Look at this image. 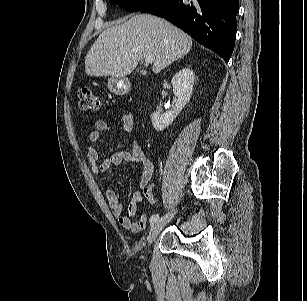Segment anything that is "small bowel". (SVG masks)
<instances>
[{
  "label": "small bowel",
  "instance_id": "obj_1",
  "mask_svg": "<svg viewBox=\"0 0 307 301\" xmlns=\"http://www.w3.org/2000/svg\"><path fill=\"white\" fill-rule=\"evenodd\" d=\"M120 123L126 132H132L135 129V120L131 113H123L120 117ZM109 128L110 126L106 121L98 120L94 125V129L89 132V145L87 147L88 166L94 175H98L99 173L108 172L112 167L120 166L124 162L142 165L140 177L142 192L137 191L133 193L128 204L127 214H123V205L118 192L113 188H109L105 192L112 214L118 219L120 225L131 233L138 234L146 229L148 225L147 215L144 212H140L143 198L152 204L158 201L157 196L153 193L152 178L154 165L136 142L133 143L130 149L115 152L110 157L99 162L98 152L94 145L99 142L101 133L107 132ZM136 215H138V220L135 219Z\"/></svg>",
  "mask_w": 307,
  "mask_h": 301
}]
</instances>
